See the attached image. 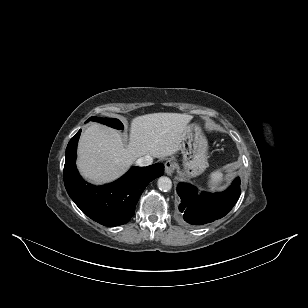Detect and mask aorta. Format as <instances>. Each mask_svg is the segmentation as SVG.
I'll list each match as a JSON object with an SVG mask.
<instances>
[{"label":"aorta","instance_id":"obj_1","mask_svg":"<svg viewBox=\"0 0 308 308\" xmlns=\"http://www.w3.org/2000/svg\"><path fill=\"white\" fill-rule=\"evenodd\" d=\"M157 185L161 191L167 192L172 188V181L170 178L162 176L158 179Z\"/></svg>","mask_w":308,"mask_h":308}]
</instances>
